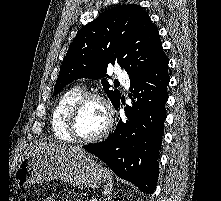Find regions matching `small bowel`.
Wrapping results in <instances>:
<instances>
[{
    "instance_id": "c3829d8e",
    "label": "small bowel",
    "mask_w": 221,
    "mask_h": 201,
    "mask_svg": "<svg viewBox=\"0 0 221 201\" xmlns=\"http://www.w3.org/2000/svg\"><path fill=\"white\" fill-rule=\"evenodd\" d=\"M43 201H55V200L52 198H45Z\"/></svg>"
}]
</instances>
